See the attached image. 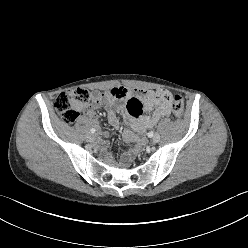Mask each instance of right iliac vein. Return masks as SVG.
I'll use <instances>...</instances> for the list:
<instances>
[{
	"label": "right iliac vein",
	"instance_id": "63e3f726",
	"mask_svg": "<svg viewBox=\"0 0 248 248\" xmlns=\"http://www.w3.org/2000/svg\"><path fill=\"white\" fill-rule=\"evenodd\" d=\"M94 139H95V137H94L93 134H91V133L86 134V140H87L88 142H93Z\"/></svg>",
	"mask_w": 248,
	"mask_h": 248
}]
</instances>
